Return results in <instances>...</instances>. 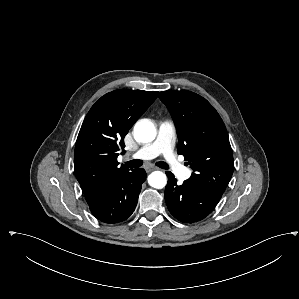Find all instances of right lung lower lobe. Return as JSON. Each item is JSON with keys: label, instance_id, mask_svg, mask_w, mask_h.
I'll list each match as a JSON object with an SVG mask.
<instances>
[{"label": "right lung lower lobe", "instance_id": "1", "mask_svg": "<svg viewBox=\"0 0 299 299\" xmlns=\"http://www.w3.org/2000/svg\"><path fill=\"white\" fill-rule=\"evenodd\" d=\"M146 173L142 168L121 173L90 203L92 214L105 223H118L133 213Z\"/></svg>", "mask_w": 299, "mask_h": 299}]
</instances>
